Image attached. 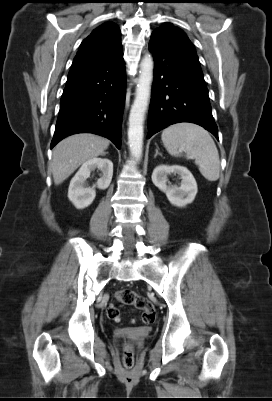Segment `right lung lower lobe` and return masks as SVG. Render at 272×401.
<instances>
[{"label":"right lung lower lobe","mask_w":272,"mask_h":401,"mask_svg":"<svg viewBox=\"0 0 272 401\" xmlns=\"http://www.w3.org/2000/svg\"><path fill=\"white\" fill-rule=\"evenodd\" d=\"M125 92L122 49L98 65L68 77L51 148L69 135L87 132L110 139L120 149Z\"/></svg>","instance_id":"right-lung-lower-lobe-1"}]
</instances>
